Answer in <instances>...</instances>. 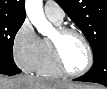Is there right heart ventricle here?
<instances>
[{
    "mask_svg": "<svg viewBox=\"0 0 107 89\" xmlns=\"http://www.w3.org/2000/svg\"><path fill=\"white\" fill-rule=\"evenodd\" d=\"M50 20L55 25H60L59 22H56L52 19ZM34 71L41 76L47 77H59L63 75L54 62L50 39L47 37L41 39L40 57Z\"/></svg>",
    "mask_w": 107,
    "mask_h": 89,
    "instance_id": "right-heart-ventricle-1",
    "label": "right heart ventricle"
}]
</instances>
